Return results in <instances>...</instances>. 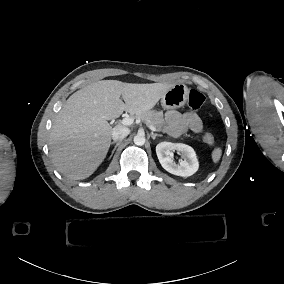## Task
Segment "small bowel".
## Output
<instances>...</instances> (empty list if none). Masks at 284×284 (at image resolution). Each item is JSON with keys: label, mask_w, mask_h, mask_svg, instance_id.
<instances>
[{"label": "small bowel", "mask_w": 284, "mask_h": 284, "mask_svg": "<svg viewBox=\"0 0 284 284\" xmlns=\"http://www.w3.org/2000/svg\"><path fill=\"white\" fill-rule=\"evenodd\" d=\"M165 120L168 124V133L172 136H179L187 131L200 133L203 130L199 116L193 111L169 110L165 113Z\"/></svg>", "instance_id": "1"}]
</instances>
